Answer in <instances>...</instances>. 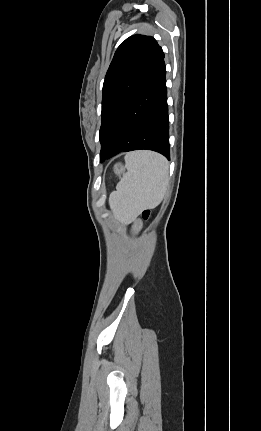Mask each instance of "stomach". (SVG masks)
<instances>
[{
	"label": "stomach",
	"instance_id": "obj_1",
	"mask_svg": "<svg viewBox=\"0 0 261 431\" xmlns=\"http://www.w3.org/2000/svg\"><path fill=\"white\" fill-rule=\"evenodd\" d=\"M114 172L118 176H121L122 174L124 175L125 174V167L122 164L118 163L114 166Z\"/></svg>",
	"mask_w": 261,
	"mask_h": 431
}]
</instances>
